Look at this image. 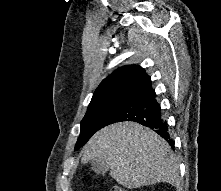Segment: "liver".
<instances>
[{
  "label": "liver",
  "instance_id": "obj_1",
  "mask_svg": "<svg viewBox=\"0 0 221 191\" xmlns=\"http://www.w3.org/2000/svg\"><path fill=\"white\" fill-rule=\"evenodd\" d=\"M94 158L104 160L111 177L129 189L159 182L179 184V166L169 144L136 122H119L96 132L81 162Z\"/></svg>",
  "mask_w": 221,
  "mask_h": 191
}]
</instances>
